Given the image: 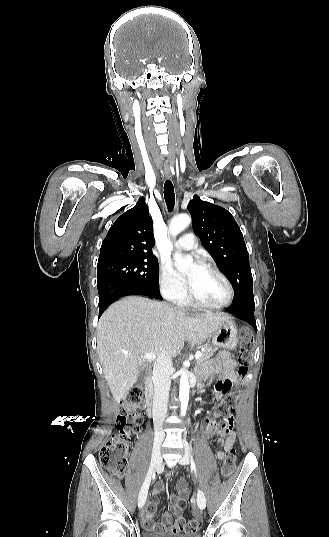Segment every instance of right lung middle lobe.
I'll use <instances>...</instances> for the list:
<instances>
[{"instance_id":"1","label":"right lung middle lobe","mask_w":329,"mask_h":537,"mask_svg":"<svg viewBox=\"0 0 329 537\" xmlns=\"http://www.w3.org/2000/svg\"><path fill=\"white\" fill-rule=\"evenodd\" d=\"M116 279L159 289L157 258L117 260L97 265V281Z\"/></svg>"}]
</instances>
